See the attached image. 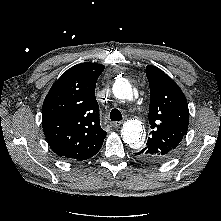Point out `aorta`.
Here are the masks:
<instances>
[{"mask_svg": "<svg viewBox=\"0 0 221 221\" xmlns=\"http://www.w3.org/2000/svg\"><path fill=\"white\" fill-rule=\"evenodd\" d=\"M113 94L118 99H131L132 87L126 79H119L113 85ZM123 141L133 149H139L144 143L143 127L138 120H129L121 129Z\"/></svg>", "mask_w": 221, "mask_h": 221, "instance_id": "1", "label": "aorta"}]
</instances>
